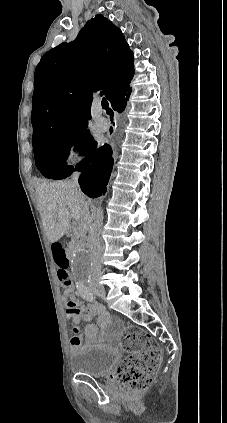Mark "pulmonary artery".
Returning <instances> with one entry per match:
<instances>
[{
  "mask_svg": "<svg viewBox=\"0 0 227 423\" xmlns=\"http://www.w3.org/2000/svg\"><path fill=\"white\" fill-rule=\"evenodd\" d=\"M91 114H92V117H93V120H94V124L99 130L103 131V130L108 129L110 123H109V120L107 118L102 116L101 107L93 108L91 110Z\"/></svg>",
  "mask_w": 227,
  "mask_h": 423,
  "instance_id": "1",
  "label": "pulmonary artery"
}]
</instances>
